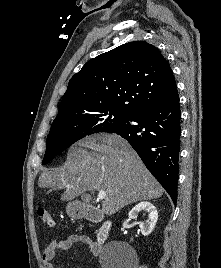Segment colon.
<instances>
[{
    "label": "colon",
    "instance_id": "5ec220e1",
    "mask_svg": "<svg viewBox=\"0 0 221 268\" xmlns=\"http://www.w3.org/2000/svg\"><path fill=\"white\" fill-rule=\"evenodd\" d=\"M38 215L42 219V221L47 224L50 227H53L55 225L54 219L51 215V213L46 209H39Z\"/></svg>",
    "mask_w": 221,
    "mask_h": 268
}]
</instances>
